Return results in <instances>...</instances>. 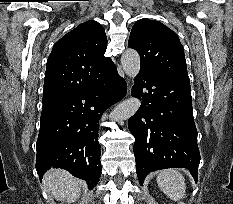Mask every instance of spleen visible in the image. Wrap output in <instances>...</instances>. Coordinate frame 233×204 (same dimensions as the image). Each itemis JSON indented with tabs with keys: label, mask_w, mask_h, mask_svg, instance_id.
<instances>
[{
	"label": "spleen",
	"mask_w": 233,
	"mask_h": 204,
	"mask_svg": "<svg viewBox=\"0 0 233 204\" xmlns=\"http://www.w3.org/2000/svg\"><path fill=\"white\" fill-rule=\"evenodd\" d=\"M157 184L163 193L170 199L179 201L186 193V183L183 175L175 169L160 171L157 176Z\"/></svg>",
	"instance_id": "1"
}]
</instances>
